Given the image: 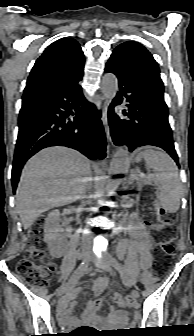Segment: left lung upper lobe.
<instances>
[{
	"mask_svg": "<svg viewBox=\"0 0 194 336\" xmlns=\"http://www.w3.org/2000/svg\"><path fill=\"white\" fill-rule=\"evenodd\" d=\"M114 51L125 53L132 64L146 77V79L161 93L164 92L160 78L159 67L148 50L137 42H124Z\"/></svg>",
	"mask_w": 194,
	"mask_h": 336,
	"instance_id": "obj_1",
	"label": "left lung upper lobe"
}]
</instances>
